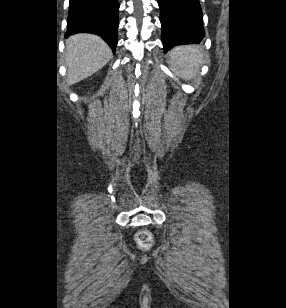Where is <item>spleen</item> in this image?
<instances>
[{"label":"spleen","instance_id":"obj_1","mask_svg":"<svg viewBox=\"0 0 286 308\" xmlns=\"http://www.w3.org/2000/svg\"><path fill=\"white\" fill-rule=\"evenodd\" d=\"M171 70L180 78L189 80L195 77L203 64L201 51L192 46H180L170 52Z\"/></svg>","mask_w":286,"mask_h":308}]
</instances>
